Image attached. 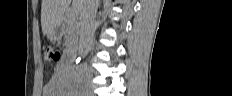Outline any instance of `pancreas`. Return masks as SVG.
Segmentation results:
<instances>
[{
    "instance_id": "1",
    "label": "pancreas",
    "mask_w": 232,
    "mask_h": 96,
    "mask_svg": "<svg viewBox=\"0 0 232 96\" xmlns=\"http://www.w3.org/2000/svg\"><path fill=\"white\" fill-rule=\"evenodd\" d=\"M78 28L79 23L77 18L73 16H67L62 26L66 51H72L77 47L79 34Z\"/></svg>"
}]
</instances>
